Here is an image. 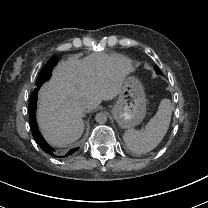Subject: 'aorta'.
<instances>
[{"label":"aorta","mask_w":208,"mask_h":208,"mask_svg":"<svg viewBox=\"0 0 208 208\" xmlns=\"http://www.w3.org/2000/svg\"><path fill=\"white\" fill-rule=\"evenodd\" d=\"M107 115L105 113H98L95 117V120L99 124H105L107 122Z\"/></svg>","instance_id":"1"}]
</instances>
